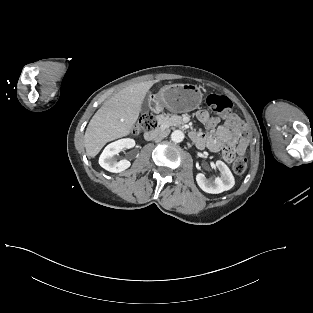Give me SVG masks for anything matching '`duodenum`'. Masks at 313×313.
<instances>
[{
  "mask_svg": "<svg viewBox=\"0 0 313 313\" xmlns=\"http://www.w3.org/2000/svg\"><path fill=\"white\" fill-rule=\"evenodd\" d=\"M158 134H159V130H152V131L145 133V138L147 140H152V139H155L158 136Z\"/></svg>",
  "mask_w": 313,
  "mask_h": 313,
  "instance_id": "duodenum-1",
  "label": "duodenum"
}]
</instances>
